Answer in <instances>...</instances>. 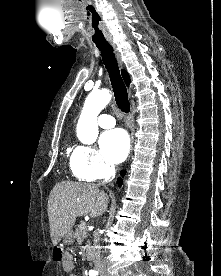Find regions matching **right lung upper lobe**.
<instances>
[{"instance_id":"obj_1","label":"right lung upper lobe","mask_w":221,"mask_h":276,"mask_svg":"<svg viewBox=\"0 0 221 276\" xmlns=\"http://www.w3.org/2000/svg\"><path fill=\"white\" fill-rule=\"evenodd\" d=\"M122 76H123V79H124L125 83L127 85H129L130 84V77H129L128 73L125 70H122Z\"/></svg>"}]
</instances>
